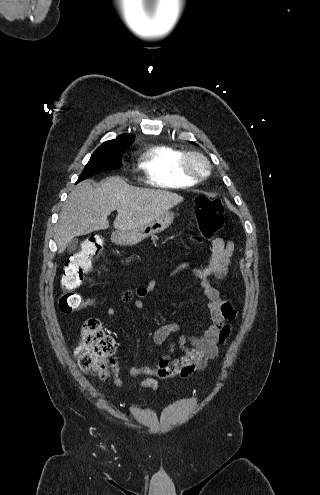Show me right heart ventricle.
I'll return each instance as SVG.
<instances>
[{"label": "right heart ventricle", "instance_id": "right-heart-ventricle-1", "mask_svg": "<svg viewBox=\"0 0 320 495\" xmlns=\"http://www.w3.org/2000/svg\"><path fill=\"white\" fill-rule=\"evenodd\" d=\"M183 151L167 144L149 147L140 157L139 166L147 181L165 188H185L196 183L180 168Z\"/></svg>", "mask_w": 320, "mask_h": 495}]
</instances>
